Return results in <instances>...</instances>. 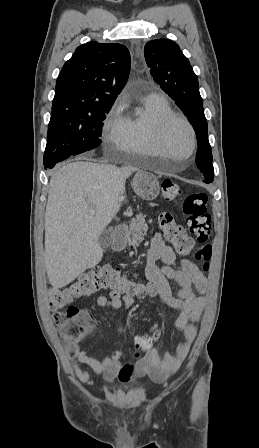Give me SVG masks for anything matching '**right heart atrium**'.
<instances>
[{
    "label": "right heart atrium",
    "mask_w": 259,
    "mask_h": 448,
    "mask_svg": "<svg viewBox=\"0 0 259 448\" xmlns=\"http://www.w3.org/2000/svg\"><path fill=\"white\" fill-rule=\"evenodd\" d=\"M120 100L116 99L108 115L103 121L100 131L101 146L105 150L122 151L125 150V136L117 114L120 110Z\"/></svg>",
    "instance_id": "1"
}]
</instances>
